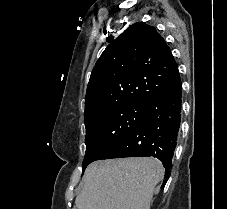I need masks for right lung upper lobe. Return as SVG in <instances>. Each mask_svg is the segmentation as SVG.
I'll list each match as a JSON object with an SVG mask.
<instances>
[{"label":"right lung upper lobe","instance_id":"obj_1","mask_svg":"<svg viewBox=\"0 0 227 209\" xmlns=\"http://www.w3.org/2000/svg\"><path fill=\"white\" fill-rule=\"evenodd\" d=\"M176 62L157 30L131 25L104 50L92 70L85 97V120L103 110L101 101L120 98L146 103L172 83L163 72Z\"/></svg>","mask_w":227,"mask_h":209}]
</instances>
